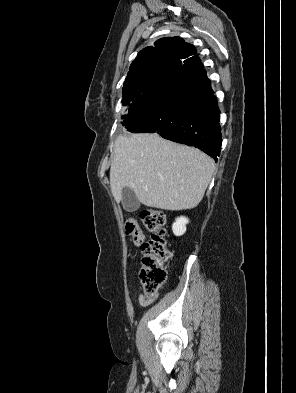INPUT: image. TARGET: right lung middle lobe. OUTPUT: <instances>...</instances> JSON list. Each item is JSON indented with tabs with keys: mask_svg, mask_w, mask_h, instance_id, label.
<instances>
[{
	"mask_svg": "<svg viewBox=\"0 0 296 393\" xmlns=\"http://www.w3.org/2000/svg\"><path fill=\"white\" fill-rule=\"evenodd\" d=\"M165 80L166 78H155L150 80L137 96L126 101H122L123 105L126 103L129 104L130 101H132L129 105L128 113L122 116L123 126L132 121L141 112V110L152 101L158 88Z\"/></svg>",
	"mask_w": 296,
	"mask_h": 393,
	"instance_id": "dd1d6c3e",
	"label": "right lung middle lobe"
}]
</instances>
